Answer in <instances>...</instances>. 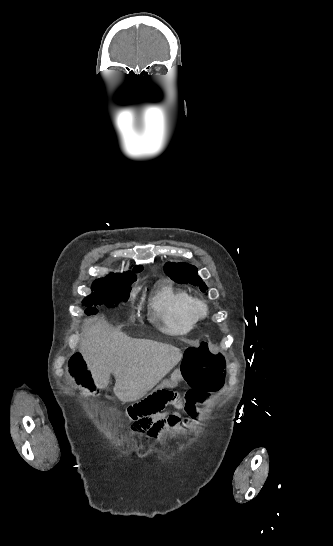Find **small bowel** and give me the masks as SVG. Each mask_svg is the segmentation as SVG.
I'll return each mask as SVG.
<instances>
[{"instance_id":"small-bowel-1","label":"small bowel","mask_w":333,"mask_h":546,"mask_svg":"<svg viewBox=\"0 0 333 546\" xmlns=\"http://www.w3.org/2000/svg\"><path fill=\"white\" fill-rule=\"evenodd\" d=\"M180 371L173 370L170 378H160L156 380V386L153 388L155 393H161L164 389H173L177 387V381L182 380L184 377L180 375ZM214 392H202L198 393L193 401H204L208 396ZM195 414V413H193ZM193 416V415H192ZM194 418V417H193ZM132 421L131 429L136 434H146L151 440L159 438L160 434L164 431H172L179 429L183 426V421L178 414L168 413L165 411H158L153 418H146L144 422H137L135 418H130Z\"/></svg>"}]
</instances>
